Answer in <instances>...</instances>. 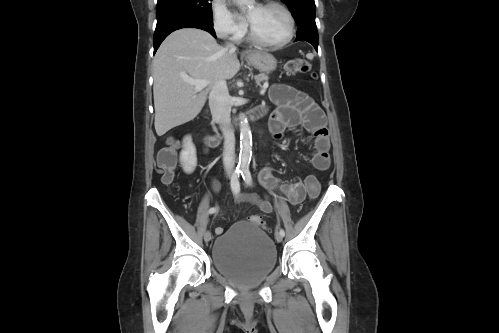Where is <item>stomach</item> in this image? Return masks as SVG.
Returning <instances> with one entry per match:
<instances>
[{
    "mask_svg": "<svg viewBox=\"0 0 499 333\" xmlns=\"http://www.w3.org/2000/svg\"><path fill=\"white\" fill-rule=\"evenodd\" d=\"M250 65L260 72H271L276 69L277 60L273 55L266 51H257L246 56Z\"/></svg>",
    "mask_w": 499,
    "mask_h": 333,
    "instance_id": "stomach-1",
    "label": "stomach"
}]
</instances>
